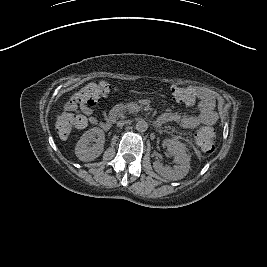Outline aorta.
<instances>
[{"label": "aorta", "instance_id": "762f6f07", "mask_svg": "<svg viewBox=\"0 0 267 267\" xmlns=\"http://www.w3.org/2000/svg\"><path fill=\"white\" fill-rule=\"evenodd\" d=\"M138 132H145L148 129V123L144 119H139L135 125Z\"/></svg>", "mask_w": 267, "mask_h": 267}]
</instances>
